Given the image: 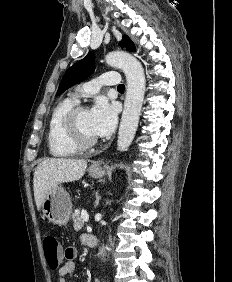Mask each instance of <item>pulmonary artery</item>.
<instances>
[{
	"mask_svg": "<svg viewBox=\"0 0 232 282\" xmlns=\"http://www.w3.org/2000/svg\"><path fill=\"white\" fill-rule=\"evenodd\" d=\"M120 84V76L115 71H108L103 73L99 79L84 84L79 88L81 94L89 95L94 94L98 91L100 86H115Z\"/></svg>",
	"mask_w": 232,
	"mask_h": 282,
	"instance_id": "e3ab8cb5",
	"label": "pulmonary artery"
}]
</instances>
